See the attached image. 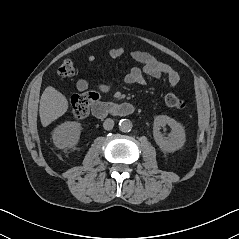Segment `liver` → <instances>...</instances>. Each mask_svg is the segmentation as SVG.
Returning a JSON list of instances; mask_svg holds the SVG:
<instances>
[{"instance_id": "liver-1", "label": "liver", "mask_w": 239, "mask_h": 239, "mask_svg": "<svg viewBox=\"0 0 239 239\" xmlns=\"http://www.w3.org/2000/svg\"><path fill=\"white\" fill-rule=\"evenodd\" d=\"M68 109L66 97L52 86H48L40 99L39 115L42 126L46 127L61 117Z\"/></svg>"}]
</instances>
